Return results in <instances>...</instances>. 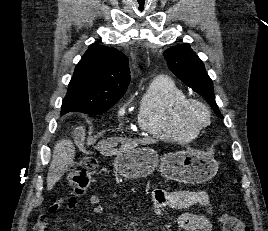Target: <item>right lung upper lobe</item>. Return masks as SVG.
Instances as JSON below:
<instances>
[{"label":"right lung upper lobe","instance_id":"obj_1","mask_svg":"<svg viewBox=\"0 0 268 231\" xmlns=\"http://www.w3.org/2000/svg\"><path fill=\"white\" fill-rule=\"evenodd\" d=\"M129 82L128 58L115 48L94 43L77 64L63 103L96 105L117 100Z\"/></svg>","mask_w":268,"mask_h":231}]
</instances>
